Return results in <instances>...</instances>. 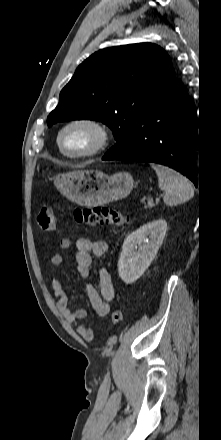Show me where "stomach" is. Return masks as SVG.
<instances>
[{
	"label": "stomach",
	"instance_id": "0dacf381",
	"mask_svg": "<svg viewBox=\"0 0 221 440\" xmlns=\"http://www.w3.org/2000/svg\"><path fill=\"white\" fill-rule=\"evenodd\" d=\"M55 187L78 205L93 207L127 197L134 187L128 172L108 175L100 170H78L58 174Z\"/></svg>",
	"mask_w": 221,
	"mask_h": 440
}]
</instances>
